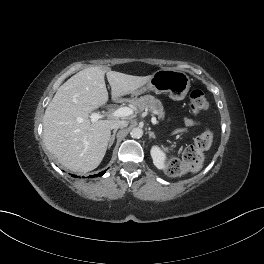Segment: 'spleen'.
I'll list each match as a JSON object with an SVG mask.
<instances>
[{"mask_svg":"<svg viewBox=\"0 0 264 264\" xmlns=\"http://www.w3.org/2000/svg\"><path fill=\"white\" fill-rule=\"evenodd\" d=\"M203 167V160H199L198 163H195L194 164V167H189V170L192 172V173H196L198 172L201 168Z\"/></svg>","mask_w":264,"mask_h":264,"instance_id":"spleen-1","label":"spleen"}]
</instances>
